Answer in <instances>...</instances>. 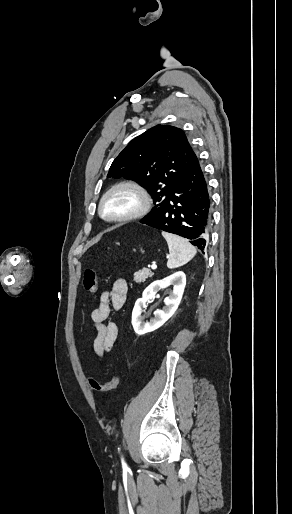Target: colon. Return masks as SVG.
Returning <instances> with one entry per match:
<instances>
[{
	"mask_svg": "<svg viewBox=\"0 0 292 514\" xmlns=\"http://www.w3.org/2000/svg\"><path fill=\"white\" fill-rule=\"evenodd\" d=\"M83 288L87 295L94 296L98 291V273L95 269L89 268L85 270L83 277ZM86 379L90 381V384L97 392L112 391L118 387L119 378L116 374L110 376V380L100 384L97 381L92 380L93 376L88 374ZM92 380V381H91Z\"/></svg>",
	"mask_w": 292,
	"mask_h": 514,
	"instance_id": "5ec220e1",
	"label": "colon"
}]
</instances>
